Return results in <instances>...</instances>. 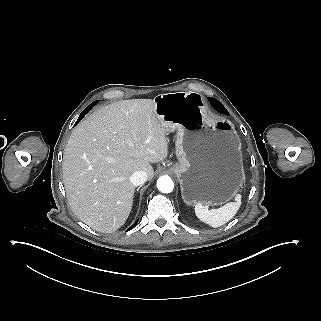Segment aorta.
<instances>
[{"label": "aorta", "mask_w": 321, "mask_h": 321, "mask_svg": "<svg viewBox=\"0 0 321 321\" xmlns=\"http://www.w3.org/2000/svg\"><path fill=\"white\" fill-rule=\"evenodd\" d=\"M157 188L162 193H170L174 189V183L169 176H162L157 180Z\"/></svg>", "instance_id": "obj_1"}]
</instances>
